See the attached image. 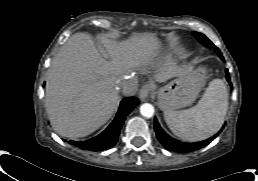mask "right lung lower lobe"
Here are the masks:
<instances>
[{
	"label": "right lung lower lobe",
	"mask_w": 258,
	"mask_h": 181,
	"mask_svg": "<svg viewBox=\"0 0 258 181\" xmlns=\"http://www.w3.org/2000/svg\"><path fill=\"white\" fill-rule=\"evenodd\" d=\"M139 104L136 97H128L121 101L118 113L108 128L100 135L87 141H73L68 143L89 151H101L113 147L118 141L120 129L124 123L125 117Z\"/></svg>",
	"instance_id": "1"
}]
</instances>
